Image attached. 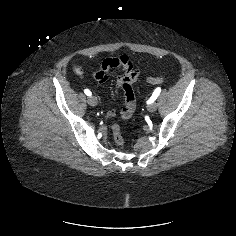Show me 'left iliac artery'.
Segmentation results:
<instances>
[{"mask_svg":"<svg viewBox=\"0 0 236 236\" xmlns=\"http://www.w3.org/2000/svg\"><path fill=\"white\" fill-rule=\"evenodd\" d=\"M160 92H161V88H160V87H157V88L154 90V92H153V94H152V96H151V98H150V100H149L148 102L151 103V102L155 101L156 98L159 96Z\"/></svg>","mask_w":236,"mask_h":236,"instance_id":"obj_1","label":"left iliac artery"}]
</instances>
